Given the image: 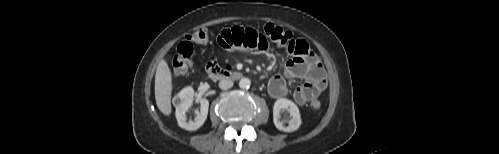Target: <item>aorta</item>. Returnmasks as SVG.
Returning <instances> with one entry per match:
<instances>
[{
	"instance_id": "1",
	"label": "aorta",
	"mask_w": 499,
	"mask_h": 154,
	"mask_svg": "<svg viewBox=\"0 0 499 154\" xmlns=\"http://www.w3.org/2000/svg\"><path fill=\"white\" fill-rule=\"evenodd\" d=\"M251 81L248 78H242L239 81V87L242 89H248L250 87Z\"/></svg>"
}]
</instances>
